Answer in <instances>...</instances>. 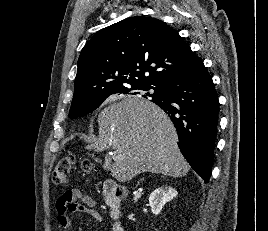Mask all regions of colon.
I'll use <instances>...</instances> for the list:
<instances>
[{"instance_id":"obj_1","label":"colon","mask_w":268,"mask_h":231,"mask_svg":"<svg viewBox=\"0 0 268 231\" xmlns=\"http://www.w3.org/2000/svg\"><path fill=\"white\" fill-rule=\"evenodd\" d=\"M73 163L74 159L72 157H64L55 164L52 173L54 184L63 185L67 183ZM82 168L89 172L93 170L87 161L82 163Z\"/></svg>"}]
</instances>
